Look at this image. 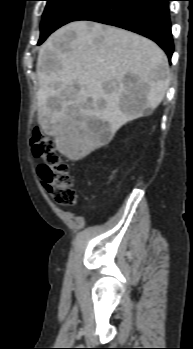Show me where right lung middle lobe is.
I'll use <instances>...</instances> for the list:
<instances>
[{
	"label": "right lung middle lobe",
	"mask_w": 193,
	"mask_h": 349,
	"mask_svg": "<svg viewBox=\"0 0 193 349\" xmlns=\"http://www.w3.org/2000/svg\"><path fill=\"white\" fill-rule=\"evenodd\" d=\"M41 23L40 45L53 31L71 22L97 0H46Z\"/></svg>",
	"instance_id": "right-lung-middle-lobe-1"
}]
</instances>
